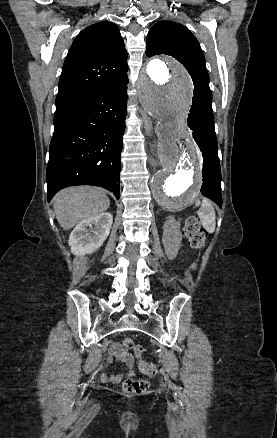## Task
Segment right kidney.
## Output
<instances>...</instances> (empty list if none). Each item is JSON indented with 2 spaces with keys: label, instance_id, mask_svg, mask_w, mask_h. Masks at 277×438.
<instances>
[{
  "label": "right kidney",
  "instance_id": "obj_1",
  "mask_svg": "<svg viewBox=\"0 0 277 438\" xmlns=\"http://www.w3.org/2000/svg\"><path fill=\"white\" fill-rule=\"evenodd\" d=\"M112 224L113 218L109 212L82 220L70 234L68 244L72 254L85 256L95 252L107 240Z\"/></svg>",
  "mask_w": 277,
  "mask_h": 438
}]
</instances>
